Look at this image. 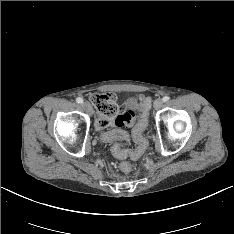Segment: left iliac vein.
Returning <instances> with one entry per match:
<instances>
[{
	"instance_id": "4c4485c4",
	"label": "left iliac vein",
	"mask_w": 234,
	"mask_h": 234,
	"mask_svg": "<svg viewBox=\"0 0 234 234\" xmlns=\"http://www.w3.org/2000/svg\"><path fill=\"white\" fill-rule=\"evenodd\" d=\"M154 108L156 110L160 109L162 106H163V100L158 98L154 101V104H153Z\"/></svg>"
}]
</instances>
